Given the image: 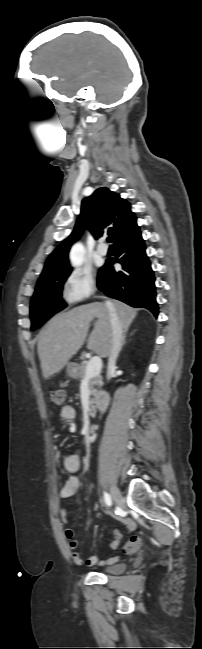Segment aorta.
<instances>
[{
  "instance_id": "762f6f07",
  "label": "aorta",
  "mask_w": 202,
  "mask_h": 649,
  "mask_svg": "<svg viewBox=\"0 0 202 649\" xmlns=\"http://www.w3.org/2000/svg\"><path fill=\"white\" fill-rule=\"evenodd\" d=\"M70 260L74 267L78 268L83 264L84 261V247L82 244H76L73 246L70 252Z\"/></svg>"
}]
</instances>
